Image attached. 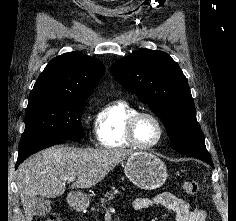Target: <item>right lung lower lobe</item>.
Listing matches in <instances>:
<instances>
[{
  "label": "right lung lower lobe",
  "instance_id": "right-lung-lower-lobe-1",
  "mask_svg": "<svg viewBox=\"0 0 236 221\" xmlns=\"http://www.w3.org/2000/svg\"><path fill=\"white\" fill-rule=\"evenodd\" d=\"M59 143H61V141L41 142V143L32 144V145H29V146L19 149L16 168L18 167V165L20 163H22L30 155H32L42 149H45L47 147H50V146H53V145L59 144Z\"/></svg>",
  "mask_w": 236,
  "mask_h": 221
}]
</instances>
